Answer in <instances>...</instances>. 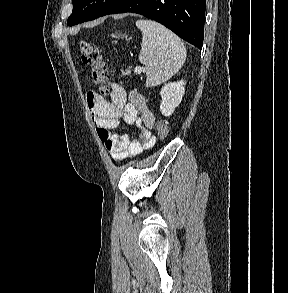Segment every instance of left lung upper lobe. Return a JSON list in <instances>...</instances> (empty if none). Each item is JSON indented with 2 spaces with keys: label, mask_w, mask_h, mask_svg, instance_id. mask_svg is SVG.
Listing matches in <instances>:
<instances>
[{
  "label": "left lung upper lobe",
  "mask_w": 288,
  "mask_h": 293,
  "mask_svg": "<svg viewBox=\"0 0 288 293\" xmlns=\"http://www.w3.org/2000/svg\"><path fill=\"white\" fill-rule=\"evenodd\" d=\"M115 1L116 0H72L73 11L68 18L67 25L72 26L96 19Z\"/></svg>",
  "instance_id": "1"
}]
</instances>
